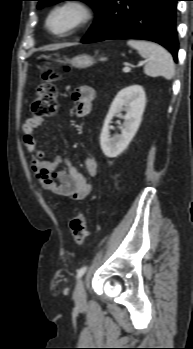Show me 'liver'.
Returning <instances> with one entry per match:
<instances>
[{"instance_id": "1", "label": "liver", "mask_w": 193, "mask_h": 349, "mask_svg": "<svg viewBox=\"0 0 193 349\" xmlns=\"http://www.w3.org/2000/svg\"><path fill=\"white\" fill-rule=\"evenodd\" d=\"M63 46H66V45H58L56 47L51 48V50H56V49H59L60 47H63Z\"/></svg>"}]
</instances>
